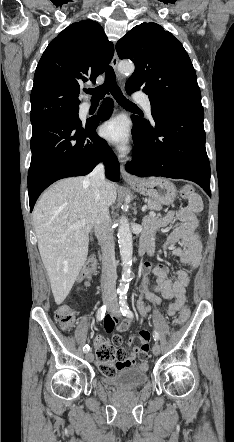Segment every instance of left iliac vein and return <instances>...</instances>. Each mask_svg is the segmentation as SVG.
Listing matches in <instances>:
<instances>
[{
  "label": "left iliac vein",
  "instance_id": "obj_1",
  "mask_svg": "<svg viewBox=\"0 0 234 442\" xmlns=\"http://www.w3.org/2000/svg\"><path fill=\"white\" fill-rule=\"evenodd\" d=\"M110 310H111V312H112L115 316H117V317L120 316L119 307H118L116 301H114V302L110 305ZM152 352H153V354H154L155 356H158V355L160 354V352H161V347H160V345H159L157 342L153 345Z\"/></svg>",
  "mask_w": 234,
  "mask_h": 442
}]
</instances>
